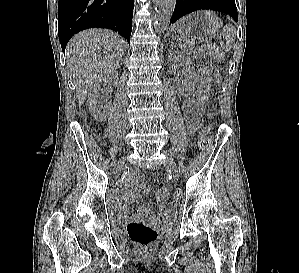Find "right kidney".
<instances>
[{
	"instance_id": "ca27d5eb",
	"label": "right kidney",
	"mask_w": 299,
	"mask_h": 273,
	"mask_svg": "<svg viewBox=\"0 0 299 273\" xmlns=\"http://www.w3.org/2000/svg\"><path fill=\"white\" fill-rule=\"evenodd\" d=\"M119 75L116 71H107L98 75L89 86L88 100L89 109L93 117L103 122L107 118V111L111 104V101L106 96H100V90L102 85H106L110 82H117Z\"/></svg>"
}]
</instances>
